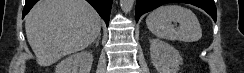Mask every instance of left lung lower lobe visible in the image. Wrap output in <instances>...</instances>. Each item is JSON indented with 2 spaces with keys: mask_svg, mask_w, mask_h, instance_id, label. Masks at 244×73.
<instances>
[{
  "mask_svg": "<svg viewBox=\"0 0 244 73\" xmlns=\"http://www.w3.org/2000/svg\"><path fill=\"white\" fill-rule=\"evenodd\" d=\"M171 2L189 3L205 10L214 21H216L217 12L214 0H137L135 17L138 22L141 15L147 13L163 4Z\"/></svg>",
  "mask_w": 244,
  "mask_h": 73,
  "instance_id": "0a47b994",
  "label": "left lung lower lobe"
}]
</instances>
